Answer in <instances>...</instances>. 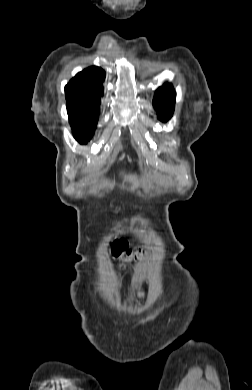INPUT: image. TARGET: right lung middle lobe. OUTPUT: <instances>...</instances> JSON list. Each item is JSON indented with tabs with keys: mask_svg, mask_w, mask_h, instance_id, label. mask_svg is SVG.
Wrapping results in <instances>:
<instances>
[{
	"mask_svg": "<svg viewBox=\"0 0 252 390\" xmlns=\"http://www.w3.org/2000/svg\"><path fill=\"white\" fill-rule=\"evenodd\" d=\"M100 109H83L68 111L74 138L81 144L91 140L97 122Z\"/></svg>",
	"mask_w": 252,
	"mask_h": 390,
	"instance_id": "obj_1",
	"label": "right lung middle lobe"
}]
</instances>
